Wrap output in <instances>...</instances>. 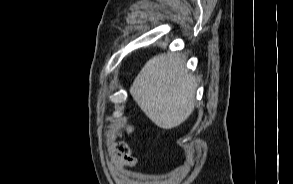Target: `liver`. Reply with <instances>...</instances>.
I'll list each match as a JSON object with an SVG mask.
<instances>
[{"instance_id": "obj_1", "label": "liver", "mask_w": 293, "mask_h": 184, "mask_svg": "<svg viewBox=\"0 0 293 184\" xmlns=\"http://www.w3.org/2000/svg\"><path fill=\"white\" fill-rule=\"evenodd\" d=\"M179 53H163L151 58L135 78L130 93L158 127H178L195 107L197 82L186 69Z\"/></svg>"}]
</instances>
